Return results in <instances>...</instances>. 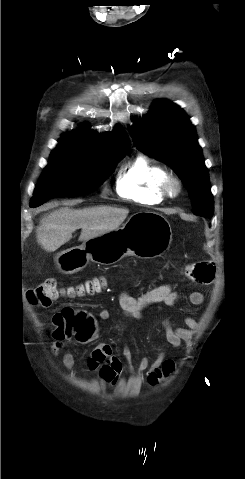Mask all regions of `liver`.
<instances>
[{
    "mask_svg": "<svg viewBox=\"0 0 245 479\" xmlns=\"http://www.w3.org/2000/svg\"><path fill=\"white\" fill-rule=\"evenodd\" d=\"M129 210L113 206H95L84 209L62 207L45 215L36 229L38 243L48 252H54L81 229L79 241L101 236L118 229Z\"/></svg>",
    "mask_w": 245,
    "mask_h": 479,
    "instance_id": "obj_1",
    "label": "liver"
}]
</instances>
